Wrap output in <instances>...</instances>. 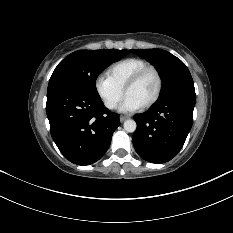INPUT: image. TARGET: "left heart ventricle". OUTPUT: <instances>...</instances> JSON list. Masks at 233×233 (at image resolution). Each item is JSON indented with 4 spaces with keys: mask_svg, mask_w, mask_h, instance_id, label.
<instances>
[{
    "mask_svg": "<svg viewBox=\"0 0 233 233\" xmlns=\"http://www.w3.org/2000/svg\"><path fill=\"white\" fill-rule=\"evenodd\" d=\"M156 89V76L153 72H149L135 86L127 91L126 96L133 98L142 106L153 97Z\"/></svg>",
    "mask_w": 233,
    "mask_h": 233,
    "instance_id": "1",
    "label": "left heart ventricle"
}]
</instances>
